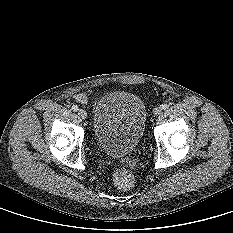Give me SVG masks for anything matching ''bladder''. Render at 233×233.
I'll return each instance as SVG.
<instances>
[{"label": "bladder", "mask_w": 233, "mask_h": 233, "mask_svg": "<svg viewBox=\"0 0 233 233\" xmlns=\"http://www.w3.org/2000/svg\"><path fill=\"white\" fill-rule=\"evenodd\" d=\"M147 112L143 101L124 91L109 92L96 102L93 132L99 147L112 157H123L139 144Z\"/></svg>", "instance_id": "31cf9c89"}]
</instances>
